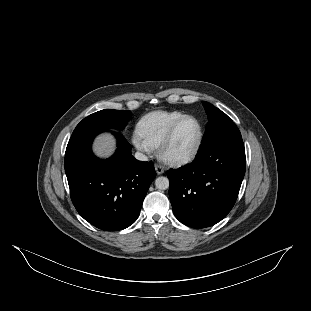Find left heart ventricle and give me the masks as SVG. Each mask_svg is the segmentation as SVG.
I'll use <instances>...</instances> for the list:
<instances>
[{
    "instance_id": "1",
    "label": "left heart ventricle",
    "mask_w": 311,
    "mask_h": 311,
    "mask_svg": "<svg viewBox=\"0 0 311 311\" xmlns=\"http://www.w3.org/2000/svg\"><path fill=\"white\" fill-rule=\"evenodd\" d=\"M198 133V123L195 120L186 121L179 128L174 142L166 152V156L176 157L189 154L197 143Z\"/></svg>"
}]
</instances>
